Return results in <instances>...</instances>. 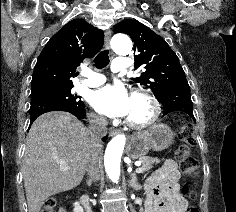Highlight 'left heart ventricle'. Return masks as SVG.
<instances>
[{
	"label": "left heart ventricle",
	"mask_w": 236,
	"mask_h": 212,
	"mask_svg": "<svg viewBox=\"0 0 236 212\" xmlns=\"http://www.w3.org/2000/svg\"><path fill=\"white\" fill-rule=\"evenodd\" d=\"M148 113V106L145 102L138 98L131 99V109L128 114L129 118L134 120H141L145 118Z\"/></svg>",
	"instance_id": "b2bd125f"
}]
</instances>
